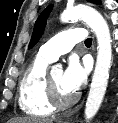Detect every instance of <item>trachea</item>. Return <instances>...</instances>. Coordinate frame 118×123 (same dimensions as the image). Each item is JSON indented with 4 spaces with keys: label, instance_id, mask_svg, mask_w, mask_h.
<instances>
[{
    "label": "trachea",
    "instance_id": "1",
    "mask_svg": "<svg viewBox=\"0 0 118 123\" xmlns=\"http://www.w3.org/2000/svg\"><path fill=\"white\" fill-rule=\"evenodd\" d=\"M86 45H91L92 44V38H88L85 40Z\"/></svg>",
    "mask_w": 118,
    "mask_h": 123
}]
</instances>
